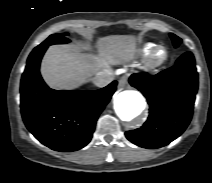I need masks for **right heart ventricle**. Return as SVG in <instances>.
Instances as JSON below:
<instances>
[{"mask_svg": "<svg viewBox=\"0 0 212 183\" xmlns=\"http://www.w3.org/2000/svg\"><path fill=\"white\" fill-rule=\"evenodd\" d=\"M157 45L155 43H146L142 46L140 54L147 56Z\"/></svg>", "mask_w": 212, "mask_h": 183, "instance_id": "e07e8e85", "label": "right heart ventricle"}]
</instances>
